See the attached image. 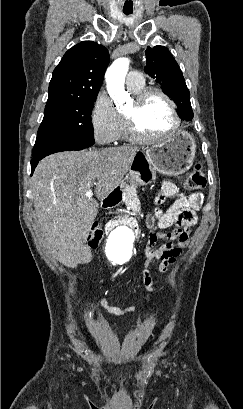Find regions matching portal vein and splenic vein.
<instances>
[{
  "label": "portal vein and splenic vein",
  "instance_id": "18ae733b",
  "mask_svg": "<svg viewBox=\"0 0 243 409\" xmlns=\"http://www.w3.org/2000/svg\"><path fill=\"white\" fill-rule=\"evenodd\" d=\"M85 196H86L87 198H92V196H93V191H92V190L87 191V192L85 193Z\"/></svg>",
  "mask_w": 243,
  "mask_h": 409
}]
</instances>
